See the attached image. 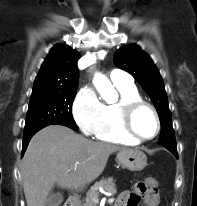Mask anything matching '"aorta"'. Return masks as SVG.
Listing matches in <instances>:
<instances>
[{
  "label": "aorta",
  "instance_id": "762f6f07",
  "mask_svg": "<svg viewBox=\"0 0 197 206\" xmlns=\"http://www.w3.org/2000/svg\"><path fill=\"white\" fill-rule=\"evenodd\" d=\"M93 84L104 100L112 102L115 99L116 92L111 82L104 75L100 73L95 74Z\"/></svg>",
  "mask_w": 197,
  "mask_h": 206
}]
</instances>
